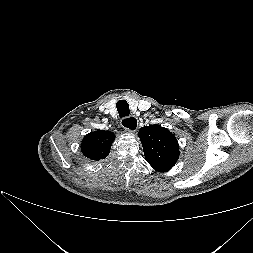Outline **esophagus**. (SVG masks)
Wrapping results in <instances>:
<instances>
[{
    "label": "esophagus",
    "instance_id": "1",
    "mask_svg": "<svg viewBox=\"0 0 253 253\" xmlns=\"http://www.w3.org/2000/svg\"><path fill=\"white\" fill-rule=\"evenodd\" d=\"M121 125L126 132L134 133L137 130L138 120L134 116L124 117L121 120Z\"/></svg>",
    "mask_w": 253,
    "mask_h": 253
}]
</instances>
